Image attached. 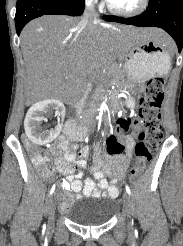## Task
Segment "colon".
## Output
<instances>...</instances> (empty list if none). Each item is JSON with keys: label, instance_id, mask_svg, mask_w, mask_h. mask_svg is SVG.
<instances>
[{"label": "colon", "instance_id": "5ec220e1", "mask_svg": "<svg viewBox=\"0 0 183 246\" xmlns=\"http://www.w3.org/2000/svg\"><path fill=\"white\" fill-rule=\"evenodd\" d=\"M164 95V80L159 77L151 79L146 86L138 118L121 117L118 120V125H115L114 133L107 134L105 150L108 157H124L127 148L123 147L118 138L126 137V132L132 126L140 127L138 142L134 151L135 165L130 175L132 179L142 173L146 163L151 160L161 143V106ZM24 142L33 163L41 166L44 173H48L45 149L31 144L27 140Z\"/></svg>", "mask_w": 183, "mask_h": 246}]
</instances>
